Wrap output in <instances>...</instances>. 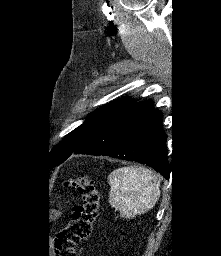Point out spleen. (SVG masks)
Segmentation results:
<instances>
[{
	"instance_id": "spleen-1",
	"label": "spleen",
	"mask_w": 221,
	"mask_h": 256,
	"mask_svg": "<svg viewBox=\"0 0 221 256\" xmlns=\"http://www.w3.org/2000/svg\"><path fill=\"white\" fill-rule=\"evenodd\" d=\"M108 180L109 203L124 218H133L150 210L160 194L158 177L142 167L116 169L111 172Z\"/></svg>"
}]
</instances>
